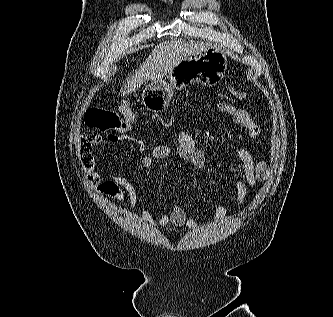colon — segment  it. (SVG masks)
Wrapping results in <instances>:
<instances>
[{
	"label": "colon",
	"mask_w": 333,
	"mask_h": 317,
	"mask_svg": "<svg viewBox=\"0 0 333 317\" xmlns=\"http://www.w3.org/2000/svg\"><path fill=\"white\" fill-rule=\"evenodd\" d=\"M229 92L238 100L247 97L245 92L234 88H231ZM135 121L136 114L128 102L121 103L117 109L92 108L85 118L87 126L102 133L125 134L133 128Z\"/></svg>",
	"instance_id": "obj_1"
}]
</instances>
